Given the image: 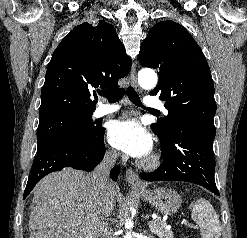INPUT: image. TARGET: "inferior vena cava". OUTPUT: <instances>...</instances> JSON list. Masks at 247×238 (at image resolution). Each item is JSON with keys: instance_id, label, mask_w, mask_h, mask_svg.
Wrapping results in <instances>:
<instances>
[{"instance_id": "obj_1", "label": "inferior vena cava", "mask_w": 247, "mask_h": 238, "mask_svg": "<svg viewBox=\"0 0 247 238\" xmlns=\"http://www.w3.org/2000/svg\"><path fill=\"white\" fill-rule=\"evenodd\" d=\"M117 154L115 152H109L106 154L103 161L94 169L91 173V179L94 184L96 195H104L109 183L110 169L116 162ZM98 238H108L106 233V226L104 221H101L98 225Z\"/></svg>"}]
</instances>
